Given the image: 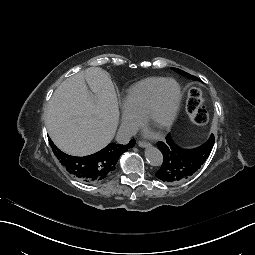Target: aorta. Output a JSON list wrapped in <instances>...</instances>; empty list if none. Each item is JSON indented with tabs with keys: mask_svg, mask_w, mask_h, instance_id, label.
Returning <instances> with one entry per match:
<instances>
[{
	"mask_svg": "<svg viewBox=\"0 0 255 255\" xmlns=\"http://www.w3.org/2000/svg\"><path fill=\"white\" fill-rule=\"evenodd\" d=\"M145 157L152 166H160L163 162V155L160 150L154 146H150L145 150Z\"/></svg>",
	"mask_w": 255,
	"mask_h": 255,
	"instance_id": "1",
	"label": "aorta"
}]
</instances>
